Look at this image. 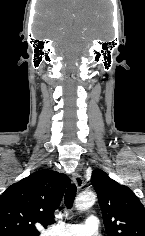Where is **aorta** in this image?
<instances>
[{"mask_svg":"<svg viewBox=\"0 0 145 236\" xmlns=\"http://www.w3.org/2000/svg\"><path fill=\"white\" fill-rule=\"evenodd\" d=\"M96 201V195L91 192L81 193L75 200V207L78 211L82 212L94 205Z\"/></svg>","mask_w":145,"mask_h":236,"instance_id":"obj_1","label":"aorta"}]
</instances>
